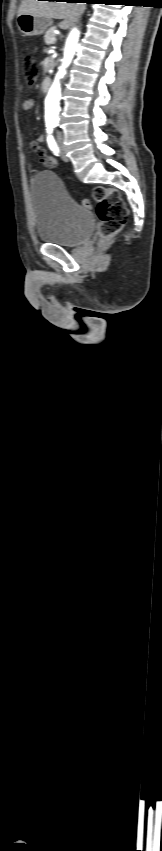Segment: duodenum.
I'll list each match as a JSON object with an SVG mask.
<instances>
[{
	"label": "duodenum",
	"instance_id": "duodenum-1",
	"mask_svg": "<svg viewBox=\"0 0 162 851\" xmlns=\"http://www.w3.org/2000/svg\"><path fill=\"white\" fill-rule=\"evenodd\" d=\"M51 85V79L49 77H44L41 81V90L42 92H47Z\"/></svg>",
	"mask_w": 162,
	"mask_h": 851
}]
</instances>
